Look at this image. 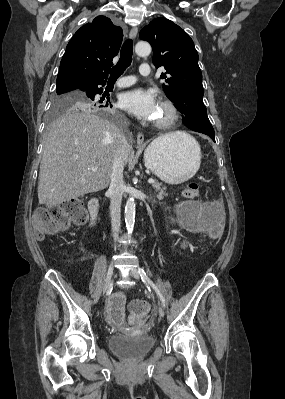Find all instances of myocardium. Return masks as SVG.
Segmentation results:
<instances>
[{
    "instance_id": "f54148a6",
    "label": "myocardium",
    "mask_w": 285,
    "mask_h": 399,
    "mask_svg": "<svg viewBox=\"0 0 285 399\" xmlns=\"http://www.w3.org/2000/svg\"><path fill=\"white\" fill-rule=\"evenodd\" d=\"M160 106H163L168 110L169 117L166 120L154 121L153 125L159 129H166L173 126L179 119V110L174 102L169 99H162L159 102Z\"/></svg>"
}]
</instances>
